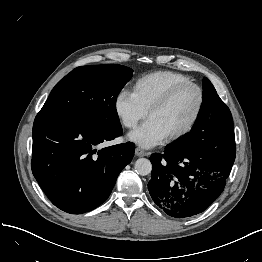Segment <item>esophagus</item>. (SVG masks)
Instances as JSON below:
<instances>
[{
	"mask_svg": "<svg viewBox=\"0 0 262 262\" xmlns=\"http://www.w3.org/2000/svg\"><path fill=\"white\" fill-rule=\"evenodd\" d=\"M135 155L138 157H143V156H147L148 153L146 151H144L143 149H141L140 147H137L135 149Z\"/></svg>",
	"mask_w": 262,
	"mask_h": 262,
	"instance_id": "esophagus-1",
	"label": "esophagus"
}]
</instances>
